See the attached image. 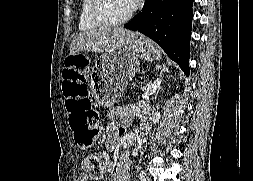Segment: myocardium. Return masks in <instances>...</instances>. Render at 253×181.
Returning a JSON list of instances; mask_svg holds the SVG:
<instances>
[{
	"label": "myocardium",
	"instance_id": "myocardium-1",
	"mask_svg": "<svg viewBox=\"0 0 253 181\" xmlns=\"http://www.w3.org/2000/svg\"><path fill=\"white\" fill-rule=\"evenodd\" d=\"M106 0H92L90 7V16L94 22L104 27H117L127 23L134 15L135 9H132L126 16L119 20L110 19L104 10Z\"/></svg>",
	"mask_w": 253,
	"mask_h": 181
}]
</instances>
